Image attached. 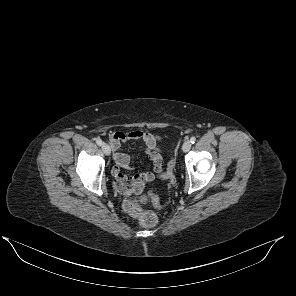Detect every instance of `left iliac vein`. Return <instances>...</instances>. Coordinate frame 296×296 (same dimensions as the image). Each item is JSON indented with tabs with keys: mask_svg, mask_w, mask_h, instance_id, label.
<instances>
[{
	"mask_svg": "<svg viewBox=\"0 0 296 296\" xmlns=\"http://www.w3.org/2000/svg\"><path fill=\"white\" fill-rule=\"evenodd\" d=\"M190 148H191V142L190 141H185L183 143L182 150L184 152H188L190 150Z\"/></svg>",
	"mask_w": 296,
	"mask_h": 296,
	"instance_id": "1",
	"label": "left iliac vein"
}]
</instances>
